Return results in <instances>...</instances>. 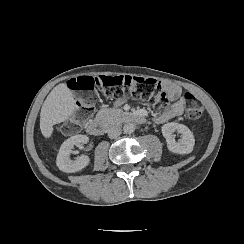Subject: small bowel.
Wrapping results in <instances>:
<instances>
[{"instance_id": "c3829d8e", "label": "small bowel", "mask_w": 244, "mask_h": 244, "mask_svg": "<svg viewBox=\"0 0 244 244\" xmlns=\"http://www.w3.org/2000/svg\"><path fill=\"white\" fill-rule=\"evenodd\" d=\"M162 88L166 92L170 105L165 107L155 116L154 121L158 125H163L179 119L183 115L186 105L180 86L171 82H164ZM124 100L125 98H120L117 102L121 104Z\"/></svg>"}]
</instances>
